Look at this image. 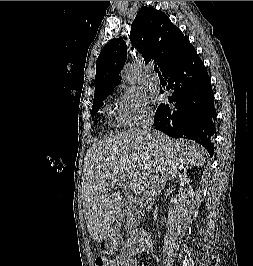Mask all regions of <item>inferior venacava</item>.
<instances>
[{"label": "inferior vena cava", "mask_w": 253, "mask_h": 266, "mask_svg": "<svg viewBox=\"0 0 253 266\" xmlns=\"http://www.w3.org/2000/svg\"><path fill=\"white\" fill-rule=\"evenodd\" d=\"M152 124H153V113L144 115L142 119V132L148 138L151 139L152 133ZM159 182V175L156 173L155 176L151 177V180L145 185L146 190L143 194V200H145V205H149L150 202L157 195V186Z\"/></svg>", "instance_id": "602c4592"}]
</instances>
